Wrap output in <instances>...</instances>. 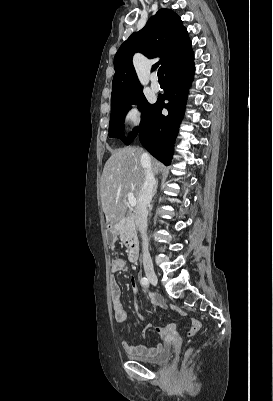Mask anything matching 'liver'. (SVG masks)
<instances>
[{
    "instance_id": "1",
    "label": "liver",
    "mask_w": 273,
    "mask_h": 401,
    "mask_svg": "<svg viewBox=\"0 0 273 401\" xmlns=\"http://www.w3.org/2000/svg\"><path fill=\"white\" fill-rule=\"evenodd\" d=\"M143 148L125 146L112 152L102 172L100 194L106 223L115 225L122 221L126 209L128 192H133L138 203L140 190L145 178V164L142 162ZM154 174L159 172L162 164L151 156Z\"/></svg>"
}]
</instances>
